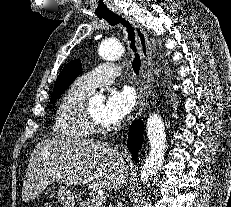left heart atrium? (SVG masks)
<instances>
[{"instance_id":"1","label":"left heart atrium","mask_w":231,"mask_h":207,"mask_svg":"<svg viewBox=\"0 0 231 207\" xmlns=\"http://www.w3.org/2000/svg\"><path fill=\"white\" fill-rule=\"evenodd\" d=\"M136 94L130 87L113 89L105 102L102 119L105 124L120 123L134 108Z\"/></svg>"}]
</instances>
